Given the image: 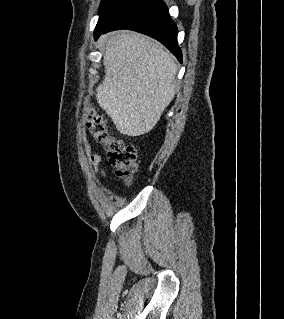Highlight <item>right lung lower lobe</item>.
Returning a JSON list of instances; mask_svg holds the SVG:
<instances>
[{"instance_id":"right-lung-lower-lobe-1","label":"right lung lower lobe","mask_w":284,"mask_h":319,"mask_svg":"<svg viewBox=\"0 0 284 319\" xmlns=\"http://www.w3.org/2000/svg\"><path fill=\"white\" fill-rule=\"evenodd\" d=\"M118 29H130L155 38L182 63V52L177 43L178 29L162 0H137L106 27L95 31V39Z\"/></svg>"}]
</instances>
